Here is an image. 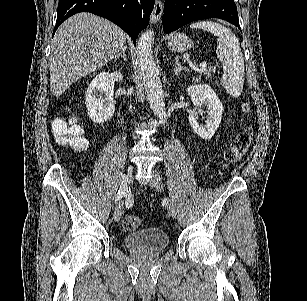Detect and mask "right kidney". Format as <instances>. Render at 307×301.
Returning <instances> with one entry per match:
<instances>
[{"label": "right kidney", "instance_id": "obj_1", "mask_svg": "<svg viewBox=\"0 0 307 301\" xmlns=\"http://www.w3.org/2000/svg\"><path fill=\"white\" fill-rule=\"evenodd\" d=\"M120 70L100 72L91 80L85 94L87 112L93 122L103 124L115 112L114 82L123 80Z\"/></svg>", "mask_w": 307, "mask_h": 301}]
</instances>
